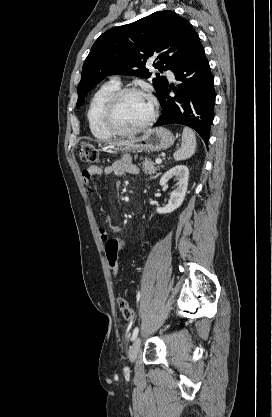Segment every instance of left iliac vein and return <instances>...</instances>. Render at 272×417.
<instances>
[{
    "label": "left iliac vein",
    "mask_w": 272,
    "mask_h": 417,
    "mask_svg": "<svg viewBox=\"0 0 272 417\" xmlns=\"http://www.w3.org/2000/svg\"><path fill=\"white\" fill-rule=\"evenodd\" d=\"M140 346H141V338L138 337L129 349L128 354H129L130 361L133 362L137 358V355L140 351Z\"/></svg>",
    "instance_id": "obj_1"
}]
</instances>
